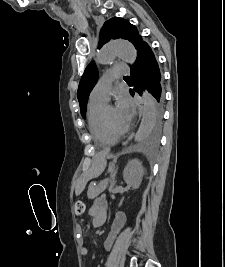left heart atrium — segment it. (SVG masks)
Masks as SVG:
<instances>
[{
  "mask_svg": "<svg viewBox=\"0 0 225 267\" xmlns=\"http://www.w3.org/2000/svg\"><path fill=\"white\" fill-rule=\"evenodd\" d=\"M115 109L125 128L128 127L133 116V105L130 98L126 94L120 93L117 98Z\"/></svg>",
  "mask_w": 225,
  "mask_h": 267,
  "instance_id": "39dd6f15",
  "label": "left heart atrium"
}]
</instances>
